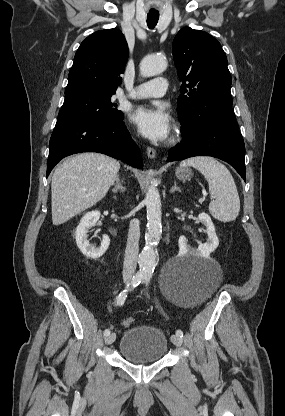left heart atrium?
<instances>
[{"instance_id":"left-heart-atrium-1","label":"left heart atrium","mask_w":285,"mask_h":416,"mask_svg":"<svg viewBox=\"0 0 285 416\" xmlns=\"http://www.w3.org/2000/svg\"><path fill=\"white\" fill-rule=\"evenodd\" d=\"M131 119L141 134L149 140L164 141L170 134V117L161 107L138 106L133 111Z\"/></svg>"}]
</instances>
